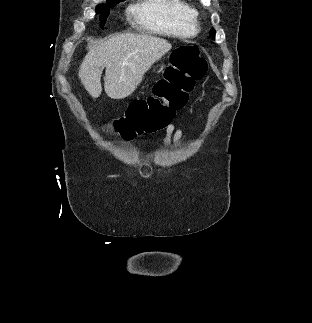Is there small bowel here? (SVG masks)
Instances as JSON below:
<instances>
[{"label": "small bowel", "mask_w": 312, "mask_h": 323, "mask_svg": "<svg viewBox=\"0 0 312 323\" xmlns=\"http://www.w3.org/2000/svg\"><path fill=\"white\" fill-rule=\"evenodd\" d=\"M183 138V130L177 127L175 124L171 123L166 128V136L163 139V145L168 147L174 144L178 146Z\"/></svg>", "instance_id": "obj_1"}]
</instances>
